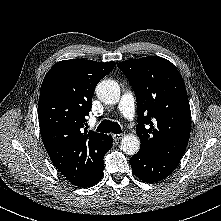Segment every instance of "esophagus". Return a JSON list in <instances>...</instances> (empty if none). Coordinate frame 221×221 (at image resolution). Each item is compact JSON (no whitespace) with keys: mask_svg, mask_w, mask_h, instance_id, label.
<instances>
[{"mask_svg":"<svg viewBox=\"0 0 221 221\" xmlns=\"http://www.w3.org/2000/svg\"><path fill=\"white\" fill-rule=\"evenodd\" d=\"M123 137V134H113V139L119 141Z\"/></svg>","mask_w":221,"mask_h":221,"instance_id":"34e87169","label":"esophagus"}]
</instances>
